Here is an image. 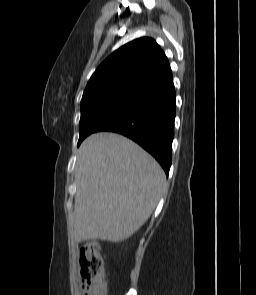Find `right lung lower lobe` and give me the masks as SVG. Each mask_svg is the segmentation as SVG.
<instances>
[{
	"label": "right lung lower lobe",
	"mask_w": 256,
	"mask_h": 295,
	"mask_svg": "<svg viewBox=\"0 0 256 295\" xmlns=\"http://www.w3.org/2000/svg\"><path fill=\"white\" fill-rule=\"evenodd\" d=\"M175 88L172 71L150 83L98 131H112L132 139L147 150L169 173L174 137Z\"/></svg>",
	"instance_id": "obj_1"
}]
</instances>
